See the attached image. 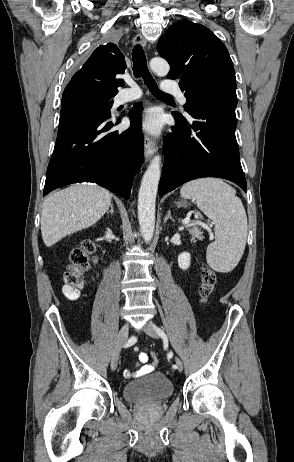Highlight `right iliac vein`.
<instances>
[{
	"label": "right iliac vein",
	"mask_w": 294,
	"mask_h": 462,
	"mask_svg": "<svg viewBox=\"0 0 294 462\" xmlns=\"http://www.w3.org/2000/svg\"><path fill=\"white\" fill-rule=\"evenodd\" d=\"M128 333H129V324L125 323L119 331L117 342L112 352L111 364H110L112 371H115L118 366L119 354H120L122 346L125 344L128 338Z\"/></svg>",
	"instance_id": "right-iliac-vein-1"
}]
</instances>
